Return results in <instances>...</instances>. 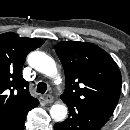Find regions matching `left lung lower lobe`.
<instances>
[{"label":"left lung lower lobe","mask_w":130,"mask_h":130,"mask_svg":"<svg viewBox=\"0 0 130 130\" xmlns=\"http://www.w3.org/2000/svg\"><path fill=\"white\" fill-rule=\"evenodd\" d=\"M69 117L54 125V130H100L109 119L103 111L86 104L66 103Z\"/></svg>","instance_id":"left-lung-lower-lobe-1"}]
</instances>
